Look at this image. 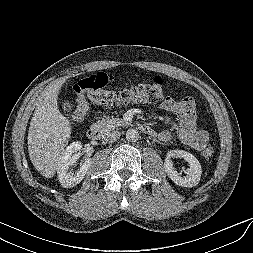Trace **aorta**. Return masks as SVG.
I'll list each match as a JSON object with an SVG mask.
<instances>
[{
	"label": "aorta",
	"mask_w": 253,
	"mask_h": 253,
	"mask_svg": "<svg viewBox=\"0 0 253 253\" xmlns=\"http://www.w3.org/2000/svg\"><path fill=\"white\" fill-rule=\"evenodd\" d=\"M126 139L129 142H136L139 139V133L135 129H128L126 132Z\"/></svg>",
	"instance_id": "1"
}]
</instances>
